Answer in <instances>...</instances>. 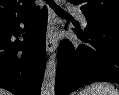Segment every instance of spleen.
<instances>
[{"instance_id":"spleen-1","label":"spleen","mask_w":119,"mask_h":95,"mask_svg":"<svg viewBox=\"0 0 119 95\" xmlns=\"http://www.w3.org/2000/svg\"><path fill=\"white\" fill-rule=\"evenodd\" d=\"M78 95H119V91L108 82H100L86 86Z\"/></svg>"}]
</instances>
